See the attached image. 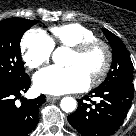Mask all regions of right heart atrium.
<instances>
[{"mask_svg": "<svg viewBox=\"0 0 136 136\" xmlns=\"http://www.w3.org/2000/svg\"><path fill=\"white\" fill-rule=\"evenodd\" d=\"M20 48L24 65L29 69L45 64L53 51L49 38L38 30L27 31L22 37Z\"/></svg>", "mask_w": 136, "mask_h": 136, "instance_id": "d8ad5b80", "label": "right heart atrium"}]
</instances>
